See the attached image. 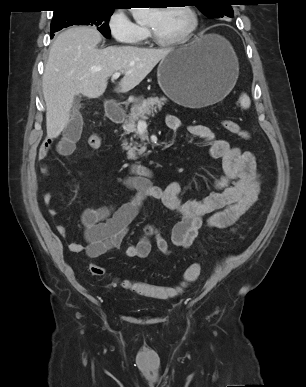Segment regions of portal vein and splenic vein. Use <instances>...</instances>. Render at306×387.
Returning <instances> with one entry per match:
<instances>
[{
	"label": "portal vein and splenic vein",
	"mask_w": 306,
	"mask_h": 387,
	"mask_svg": "<svg viewBox=\"0 0 306 387\" xmlns=\"http://www.w3.org/2000/svg\"><path fill=\"white\" fill-rule=\"evenodd\" d=\"M121 75V72H115L113 75H112V80H116L120 77ZM146 126V122L145 121H138V127H145Z\"/></svg>",
	"instance_id": "obj_1"
}]
</instances>
